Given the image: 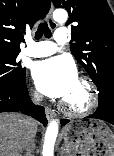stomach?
<instances>
[{"label": "stomach", "instance_id": "stomach-1", "mask_svg": "<svg viewBox=\"0 0 114 156\" xmlns=\"http://www.w3.org/2000/svg\"><path fill=\"white\" fill-rule=\"evenodd\" d=\"M63 136L67 156H114V133L103 121H72Z\"/></svg>", "mask_w": 114, "mask_h": 156}]
</instances>
